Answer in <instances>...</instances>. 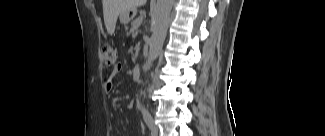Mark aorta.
I'll use <instances>...</instances> for the list:
<instances>
[{"instance_id":"obj_1","label":"aorta","mask_w":325,"mask_h":136,"mask_svg":"<svg viewBox=\"0 0 325 136\" xmlns=\"http://www.w3.org/2000/svg\"><path fill=\"white\" fill-rule=\"evenodd\" d=\"M174 0H157L151 18L152 36L149 42L148 63L151 64L159 56L166 38L170 12ZM145 112V108L142 107Z\"/></svg>"}]
</instances>
